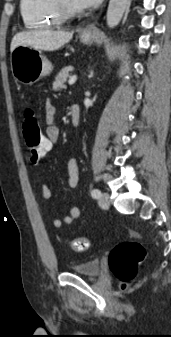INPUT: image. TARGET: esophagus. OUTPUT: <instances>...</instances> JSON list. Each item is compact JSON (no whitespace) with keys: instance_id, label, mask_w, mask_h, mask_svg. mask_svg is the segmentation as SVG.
Returning a JSON list of instances; mask_svg holds the SVG:
<instances>
[{"instance_id":"obj_1","label":"esophagus","mask_w":171,"mask_h":337,"mask_svg":"<svg viewBox=\"0 0 171 337\" xmlns=\"http://www.w3.org/2000/svg\"><path fill=\"white\" fill-rule=\"evenodd\" d=\"M95 31V21L87 25L82 31L83 35H91Z\"/></svg>"}]
</instances>
